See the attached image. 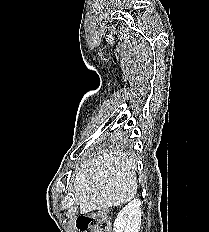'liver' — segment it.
<instances>
[{"mask_svg":"<svg viewBox=\"0 0 209 232\" xmlns=\"http://www.w3.org/2000/svg\"><path fill=\"white\" fill-rule=\"evenodd\" d=\"M136 161L126 152H104L84 163L73 178L81 213L116 207L137 192Z\"/></svg>","mask_w":209,"mask_h":232,"instance_id":"1","label":"liver"}]
</instances>
